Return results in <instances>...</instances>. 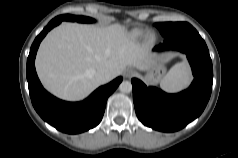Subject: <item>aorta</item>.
Returning <instances> with one entry per match:
<instances>
[{
	"label": "aorta",
	"mask_w": 238,
	"mask_h": 158,
	"mask_svg": "<svg viewBox=\"0 0 238 158\" xmlns=\"http://www.w3.org/2000/svg\"><path fill=\"white\" fill-rule=\"evenodd\" d=\"M119 89L121 92L123 93H130L132 91V84L129 81H123L120 85H119Z\"/></svg>",
	"instance_id": "obj_1"
}]
</instances>
